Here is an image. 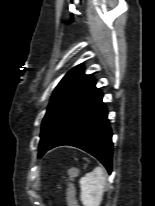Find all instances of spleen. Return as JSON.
I'll return each instance as SVG.
<instances>
[{"instance_id": "1", "label": "spleen", "mask_w": 155, "mask_h": 206, "mask_svg": "<svg viewBox=\"0 0 155 206\" xmlns=\"http://www.w3.org/2000/svg\"><path fill=\"white\" fill-rule=\"evenodd\" d=\"M81 201L84 206H99L102 202L106 185L105 172L102 167H96L83 176L80 181Z\"/></svg>"}]
</instances>
